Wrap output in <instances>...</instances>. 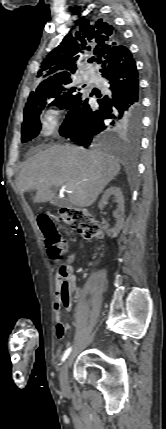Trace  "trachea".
<instances>
[{"mask_svg":"<svg viewBox=\"0 0 166 429\" xmlns=\"http://www.w3.org/2000/svg\"><path fill=\"white\" fill-rule=\"evenodd\" d=\"M93 61H94V58H92V59L89 60L90 63L93 62Z\"/></svg>","mask_w":166,"mask_h":429,"instance_id":"3493384b","label":"trachea"}]
</instances>
